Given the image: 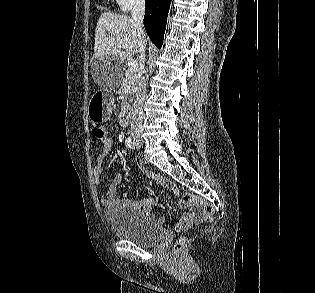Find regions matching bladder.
Segmentation results:
<instances>
[{
	"label": "bladder",
	"instance_id": "1",
	"mask_svg": "<svg viewBox=\"0 0 315 293\" xmlns=\"http://www.w3.org/2000/svg\"><path fill=\"white\" fill-rule=\"evenodd\" d=\"M104 217L115 236L141 246L156 243L163 234L152 216L126 203L113 204L104 211Z\"/></svg>",
	"mask_w": 315,
	"mask_h": 293
}]
</instances>
